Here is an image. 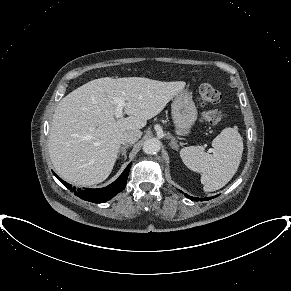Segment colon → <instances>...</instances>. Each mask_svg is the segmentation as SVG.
Instances as JSON below:
<instances>
[{"label": "colon", "instance_id": "obj_1", "mask_svg": "<svg viewBox=\"0 0 291 291\" xmlns=\"http://www.w3.org/2000/svg\"><path fill=\"white\" fill-rule=\"evenodd\" d=\"M199 96L203 106H213L221 100V93L208 83L199 87ZM223 119L224 113L218 109H207L202 113V121L210 125H219Z\"/></svg>", "mask_w": 291, "mask_h": 291}]
</instances>
